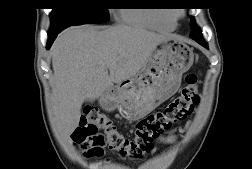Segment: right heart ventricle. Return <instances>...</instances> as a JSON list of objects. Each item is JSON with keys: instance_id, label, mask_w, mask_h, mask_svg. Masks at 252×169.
Returning a JSON list of instances; mask_svg holds the SVG:
<instances>
[{"instance_id": "obj_1", "label": "right heart ventricle", "mask_w": 252, "mask_h": 169, "mask_svg": "<svg viewBox=\"0 0 252 169\" xmlns=\"http://www.w3.org/2000/svg\"><path fill=\"white\" fill-rule=\"evenodd\" d=\"M119 16L124 22L143 28L171 31L177 26L175 18L164 12L121 9Z\"/></svg>"}]
</instances>
